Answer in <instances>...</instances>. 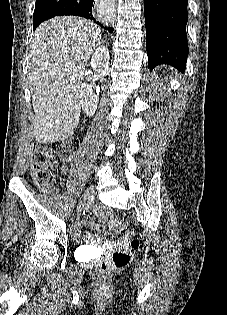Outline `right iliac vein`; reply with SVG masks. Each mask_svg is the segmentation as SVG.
I'll list each match as a JSON object with an SVG mask.
<instances>
[{
    "instance_id": "63e3f726",
    "label": "right iliac vein",
    "mask_w": 227,
    "mask_h": 315,
    "mask_svg": "<svg viewBox=\"0 0 227 315\" xmlns=\"http://www.w3.org/2000/svg\"><path fill=\"white\" fill-rule=\"evenodd\" d=\"M93 195H94V188H93V186H90V187L86 190V192H85V194H84V197L82 198V200H80V202H79V204H78V206H77V212H78V213L82 211L85 202H86L87 200L91 199V198L93 197Z\"/></svg>"
}]
</instances>
